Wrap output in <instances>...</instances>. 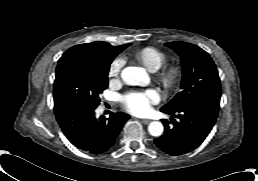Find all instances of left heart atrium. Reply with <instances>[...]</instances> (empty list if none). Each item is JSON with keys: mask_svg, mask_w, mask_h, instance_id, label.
<instances>
[{"mask_svg": "<svg viewBox=\"0 0 258 181\" xmlns=\"http://www.w3.org/2000/svg\"><path fill=\"white\" fill-rule=\"evenodd\" d=\"M159 101L158 93L149 89L144 92H133L123 99L125 108L134 114H145L149 112L151 105Z\"/></svg>", "mask_w": 258, "mask_h": 181, "instance_id": "left-heart-atrium-1", "label": "left heart atrium"}]
</instances>
